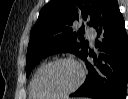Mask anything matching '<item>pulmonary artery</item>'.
Wrapping results in <instances>:
<instances>
[{
	"label": "pulmonary artery",
	"mask_w": 128,
	"mask_h": 99,
	"mask_svg": "<svg viewBox=\"0 0 128 99\" xmlns=\"http://www.w3.org/2000/svg\"><path fill=\"white\" fill-rule=\"evenodd\" d=\"M86 33H87L88 37L90 38L91 43L93 44L94 43V38H95V30L91 27H88L86 29Z\"/></svg>",
	"instance_id": "e3ab8cb5"
}]
</instances>
